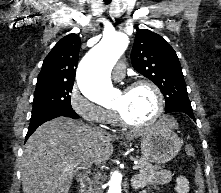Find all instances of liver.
<instances>
[{
	"label": "liver",
	"mask_w": 221,
	"mask_h": 193,
	"mask_svg": "<svg viewBox=\"0 0 221 193\" xmlns=\"http://www.w3.org/2000/svg\"><path fill=\"white\" fill-rule=\"evenodd\" d=\"M160 124L178 128L170 117ZM148 130L125 135L128 140ZM118 137L67 117H58L41 126L27 140L21 159L23 193H68L76 172L93 164L100 165L113 153L112 142ZM76 164L73 170L64 171Z\"/></svg>",
	"instance_id": "liver-1"
}]
</instances>
